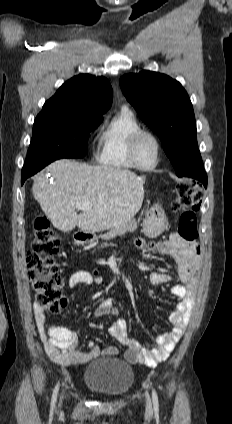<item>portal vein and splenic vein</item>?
<instances>
[{
    "mask_svg": "<svg viewBox=\"0 0 232 424\" xmlns=\"http://www.w3.org/2000/svg\"><path fill=\"white\" fill-rule=\"evenodd\" d=\"M76 209L78 210H82V211H86L91 209L92 207V203L90 202H81V203H76L75 204Z\"/></svg>",
    "mask_w": 232,
    "mask_h": 424,
    "instance_id": "18ae733b",
    "label": "portal vein and splenic vein"
}]
</instances>
